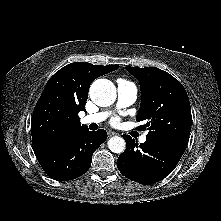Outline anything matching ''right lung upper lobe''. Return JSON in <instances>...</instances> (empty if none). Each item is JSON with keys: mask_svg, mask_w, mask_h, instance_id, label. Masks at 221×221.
<instances>
[{"mask_svg": "<svg viewBox=\"0 0 221 221\" xmlns=\"http://www.w3.org/2000/svg\"><path fill=\"white\" fill-rule=\"evenodd\" d=\"M118 67L75 62L64 66L49 79L32 116V144L36 155L87 128L81 126L78 113L85 110L92 81Z\"/></svg>", "mask_w": 221, "mask_h": 221, "instance_id": "right-lung-upper-lobe-1", "label": "right lung upper lobe"}]
</instances>
